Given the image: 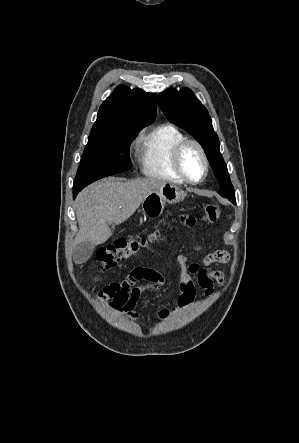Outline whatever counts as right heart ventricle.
<instances>
[{"mask_svg": "<svg viewBox=\"0 0 299 443\" xmlns=\"http://www.w3.org/2000/svg\"><path fill=\"white\" fill-rule=\"evenodd\" d=\"M186 138L172 123L159 125L146 134L138 149L143 174L173 183L185 182L174 168L173 154L176 146Z\"/></svg>", "mask_w": 299, "mask_h": 443, "instance_id": "right-heart-ventricle-1", "label": "right heart ventricle"}]
</instances>
